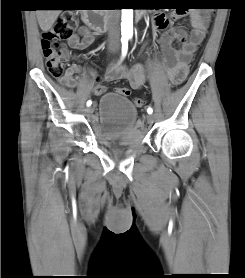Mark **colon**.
<instances>
[{"label":"colon","mask_w":245,"mask_h":278,"mask_svg":"<svg viewBox=\"0 0 245 278\" xmlns=\"http://www.w3.org/2000/svg\"><path fill=\"white\" fill-rule=\"evenodd\" d=\"M201 7L209 12L214 10V7L210 4H203ZM75 25L76 21L72 15L61 14L57 16L55 24L51 28L42 32L41 42L47 69L54 78L62 82H64L63 72L70 58V54L67 49L58 46V41L69 37ZM180 83L181 79L179 78L173 80L174 85ZM116 92L125 97L130 95V90L125 87H118ZM133 103L136 107H141L144 101L142 98L137 97L134 98Z\"/></svg>","instance_id":"1"}]
</instances>
